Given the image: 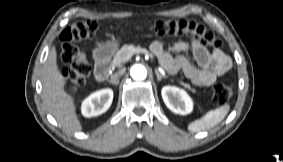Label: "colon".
Instances as JSON below:
<instances>
[{
    "mask_svg": "<svg viewBox=\"0 0 283 162\" xmlns=\"http://www.w3.org/2000/svg\"><path fill=\"white\" fill-rule=\"evenodd\" d=\"M97 30L98 23L95 20H82L64 29L60 35L61 59L65 64L63 75L72 91L82 87L91 72L87 57L77 42L93 38ZM150 30L158 37L187 36L212 48L217 49L221 46V41L212 31L192 20L159 19L151 23ZM233 93L232 83L222 81L214 86L212 100L216 105H224L231 99Z\"/></svg>",
    "mask_w": 283,
    "mask_h": 162,
    "instance_id": "colon-1",
    "label": "colon"
}]
</instances>
